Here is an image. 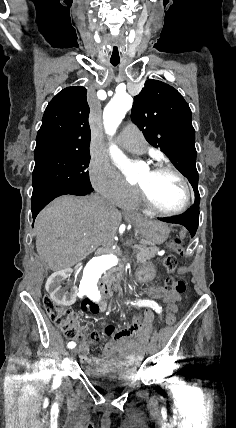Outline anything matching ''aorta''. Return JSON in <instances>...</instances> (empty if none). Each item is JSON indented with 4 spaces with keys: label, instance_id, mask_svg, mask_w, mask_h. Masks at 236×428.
<instances>
[{
    "label": "aorta",
    "instance_id": "762f6f07",
    "mask_svg": "<svg viewBox=\"0 0 236 428\" xmlns=\"http://www.w3.org/2000/svg\"><path fill=\"white\" fill-rule=\"evenodd\" d=\"M132 103L133 99L127 93L116 94L110 100L103 112V122L107 134L113 135L116 132L127 111L132 107ZM110 153L115 161L122 164L128 177L134 178V170L130 167L124 154L115 145H111ZM117 262V257L112 254L92 258L83 269L81 288L84 294L98 295L97 284L99 279L108 269L115 266Z\"/></svg>",
    "mask_w": 236,
    "mask_h": 428
}]
</instances>
